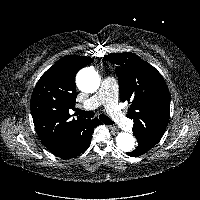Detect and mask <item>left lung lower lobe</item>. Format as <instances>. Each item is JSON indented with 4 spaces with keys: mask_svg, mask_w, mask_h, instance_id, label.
<instances>
[{
    "mask_svg": "<svg viewBox=\"0 0 200 200\" xmlns=\"http://www.w3.org/2000/svg\"><path fill=\"white\" fill-rule=\"evenodd\" d=\"M134 134L137 138L138 145L135 150L127 153V155H129L131 157H136V156L145 154L151 148H153L158 142L156 139H154L150 136L140 135L138 133H134Z\"/></svg>",
    "mask_w": 200,
    "mask_h": 200,
    "instance_id": "left-lung-lower-lobe-1",
    "label": "left lung lower lobe"
}]
</instances>
